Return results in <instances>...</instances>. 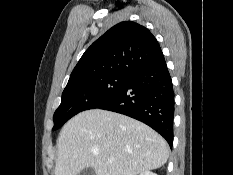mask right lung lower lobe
Returning <instances> with one entry per match:
<instances>
[{
  "instance_id": "98d812e1",
  "label": "right lung lower lobe",
  "mask_w": 233,
  "mask_h": 175,
  "mask_svg": "<svg viewBox=\"0 0 233 175\" xmlns=\"http://www.w3.org/2000/svg\"><path fill=\"white\" fill-rule=\"evenodd\" d=\"M97 108L147 124L172 147L174 92L164 57L132 74L119 93Z\"/></svg>"
}]
</instances>
